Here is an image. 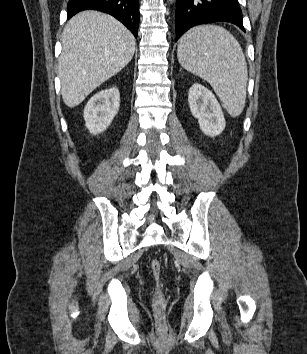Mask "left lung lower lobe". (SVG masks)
Segmentation results:
<instances>
[{
    "label": "left lung lower lobe",
    "mask_w": 307,
    "mask_h": 354,
    "mask_svg": "<svg viewBox=\"0 0 307 354\" xmlns=\"http://www.w3.org/2000/svg\"><path fill=\"white\" fill-rule=\"evenodd\" d=\"M225 21L245 31L238 0H177L176 40L193 26Z\"/></svg>",
    "instance_id": "0a47b994"
}]
</instances>
